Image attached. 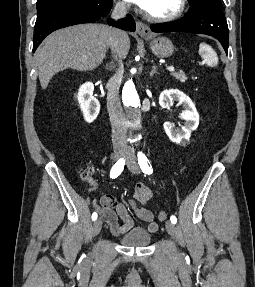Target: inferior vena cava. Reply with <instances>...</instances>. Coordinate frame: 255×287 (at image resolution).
Returning <instances> with one entry per match:
<instances>
[{"label":"inferior vena cava","instance_id":"602c4592","mask_svg":"<svg viewBox=\"0 0 255 287\" xmlns=\"http://www.w3.org/2000/svg\"><path fill=\"white\" fill-rule=\"evenodd\" d=\"M128 6L119 2L116 4L113 12V20H119V18H124L127 12ZM123 32L113 28L111 30V42L109 44L111 52L115 54L114 58L116 60V74L110 78L106 88L108 90L107 94V108L109 112V118L112 126V144L114 147H126V128H125V116L123 114L122 106L120 104L119 98V88L121 86L124 66L120 58L119 46L117 42L118 36H122Z\"/></svg>","mask_w":255,"mask_h":287}]
</instances>
